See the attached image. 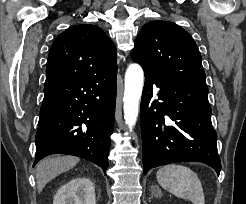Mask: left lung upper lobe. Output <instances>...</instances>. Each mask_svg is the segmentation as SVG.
I'll return each instance as SVG.
<instances>
[{"mask_svg":"<svg viewBox=\"0 0 246 204\" xmlns=\"http://www.w3.org/2000/svg\"><path fill=\"white\" fill-rule=\"evenodd\" d=\"M131 57L146 75L206 85L199 49L190 34L175 23L145 24Z\"/></svg>","mask_w":246,"mask_h":204,"instance_id":"1","label":"left lung upper lobe"}]
</instances>
